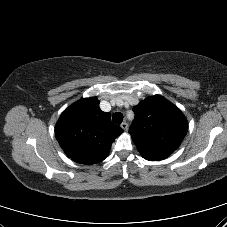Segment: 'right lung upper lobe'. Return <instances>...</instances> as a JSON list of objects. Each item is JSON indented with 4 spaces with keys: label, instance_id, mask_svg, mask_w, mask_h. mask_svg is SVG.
<instances>
[{
    "label": "right lung upper lobe",
    "instance_id": "cb5924a9",
    "mask_svg": "<svg viewBox=\"0 0 227 227\" xmlns=\"http://www.w3.org/2000/svg\"><path fill=\"white\" fill-rule=\"evenodd\" d=\"M123 130L99 108L96 97L83 98L65 109L55 126L56 138L74 162L91 165L103 161Z\"/></svg>",
    "mask_w": 227,
    "mask_h": 227
}]
</instances>
